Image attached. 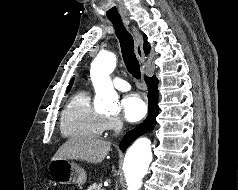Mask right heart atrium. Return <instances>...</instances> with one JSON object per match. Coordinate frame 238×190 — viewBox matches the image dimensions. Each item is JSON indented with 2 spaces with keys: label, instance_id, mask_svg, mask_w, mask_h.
I'll use <instances>...</instances> for the list:
<instances>
[{
  "label": "right heart atrium",
  "instance_id": "d8ad5b80",
  "mask_svg": "<svg viewBox=\"0 0 238 190\" xmlns=\"http://www.w3.org/2000/svg\"><path fill=\"white\" fill-rule=\"evenodd\" d=\"M120 120L116 117H107L106 128L108 130H117L120 127Z\"/></svg>",
  "mask_w": 238,
  "mask_h": 190
}]
</instances>
